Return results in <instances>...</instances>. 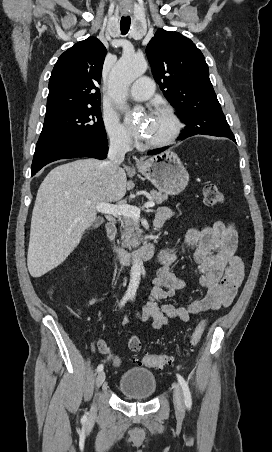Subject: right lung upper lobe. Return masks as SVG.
Returning <instances> with one entry per match:
<instances>
[{
    "label": "right lung upper lobe",
    "mask_w": 272,
    "mask_h": 452,
    "mask_svg": "<svg viewBox=\"0 0 272 452\" xmlns=\"http://www.w3.org/2000/svg\"><path fill=\"white\" fill-rule=\"evenodd\" d=\"M105 46L95 37L76 43L55 64L49 79L46 114L100 104Z\"/></svg>",
    "instance_id": "cb5924a9"
}]
</instances>
